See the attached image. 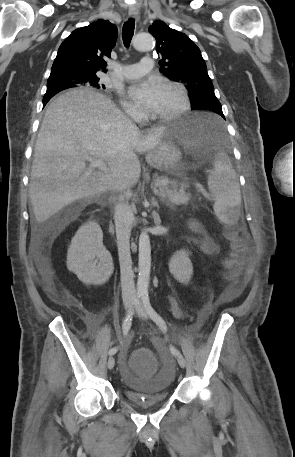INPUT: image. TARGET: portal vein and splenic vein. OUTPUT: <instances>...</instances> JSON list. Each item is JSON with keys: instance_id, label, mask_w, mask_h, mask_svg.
I'll return each instance as SVG.
<instances>
[{"instance_id": "portal-vein-and-splenic-vein-1", "label": "portal vein and splenic vein", "mask_w": 295, "mask_h": 457, "mask_svg": "<svg viewBox=\"0 0 295 457\" xmlns=\"http://www.w3.org/2000/svg\"><path fill=\"white\" fill-rule=\"evenodd\" d=\"M85 159L90 162L91 167H97L102 171H107V165L99 159H94L89 156H85ZM168 184V180H162L155 183V187L165 186Z\"/></svg>"}]
</instances>
